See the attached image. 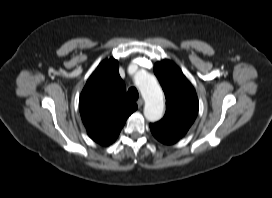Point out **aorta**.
<instances>
[{
    "mask_svg": "<svg viewBox=\"0 0 272 198\" xmlns=\"http://www.w3.org/2000/svg\"><path fill=\"white\" fill-rule=\"evenodd\" d=\"M135 83L145 100V118L150 122L160 120L164 112V95L156 78L150 73L142 72L135 76Z\"/></svg>",
    "mask_w": 272,
    "mask_h": 198,
    "instance_id": "762f6f07",
    "label": "aorta"
}]
</instances>
